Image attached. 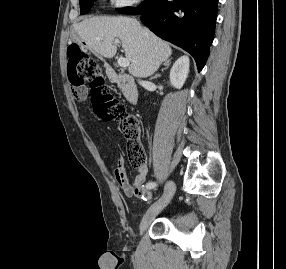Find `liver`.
<instances>
[{
	"instance_id": "obj_1",
	"label": "liver",
	"mask_w": 286,
	"mask_h": 269,
	"mask_svg": "<svg viewBox=\"0 0 286 269\" xmlns=\"http://www.w3.org/2000/svg\"><path fill=\"white\" fill-rule=\"evenodd\" d=\"M73 27L87 47L101 57H114L117 52L114 41L120 40L129 61L128 71L134 77L153 75L172 54L168 43L133 18L92 17Z\"/></svg>"
}]
</instances>
